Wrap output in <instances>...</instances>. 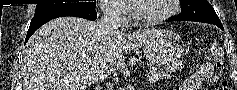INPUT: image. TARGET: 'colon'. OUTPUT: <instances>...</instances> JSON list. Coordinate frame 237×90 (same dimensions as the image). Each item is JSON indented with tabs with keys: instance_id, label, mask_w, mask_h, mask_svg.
I'll return each mask as SVG.
<instances>
[{
	"instance_id": "5ec220e1",
	"label": "colon",
	"mask_w": 237,
	"mask_h": 90,
	"mask_svg": "<svg viewBox=\"0 0 237 90\" xmlns=\"http://www.w3.org/2000/svg\"><path fill=\"white\" fill-rule=\"evenodd\" d=\"M213 60L215 62L216 68H217L216 78L221 79L219 90H230L228 82L226 80L222 79L224 56H223V52L219 48H216L214 50Z\"/></svg>"
}]
</instances>
